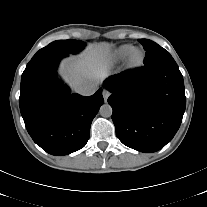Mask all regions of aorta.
I'll use <instances>...</instances> for the list:
<instances>
[{"label": "aorta", "mask_w": 207, "mask_h": 207, "mask_svg": "<svg viewBox=\"0 0 207 207\" xmlns=\"http://www.w3.org/2000/svg\"><path fill=\"white\" fill-rule=\"evenodd\" d=\"M112 112V107L109 104H103L99 109V113L102 117H110Z\"/></svg>", "instance_id": "aorta-1"}]
</instances>
